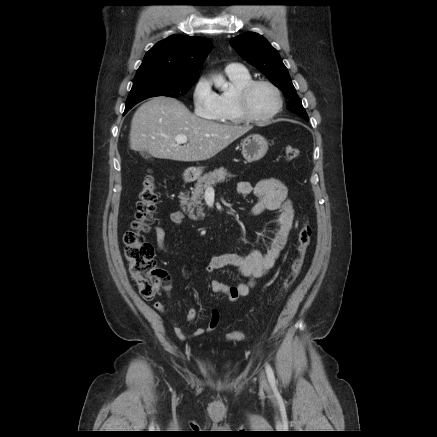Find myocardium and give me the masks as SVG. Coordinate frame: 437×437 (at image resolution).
Wrapping results in <instances>:
<instances>
[{"label": "myocardium", "instance_id": "myocardium-1", "mask_svg": "<svg viewBox=\"0 0 437 437\" xmlns=\"http://www.w3.org/2000/svg\"><path fill=\"white\" fill-rule=\"evenodd\" d=\"M265 85L270 87L276 95L277 106L272 113L267 116L259 117L252 113L250 109V96L253 90L259 86ZM237 107L240 115L245 121L251 123H266L274 119L283 108V97L280 89L271 81L265 79L251 80L245 84L237 93L236 97Z\"/></svg>", "mask_w": 437, "mask_h": 437}]
</instances>
